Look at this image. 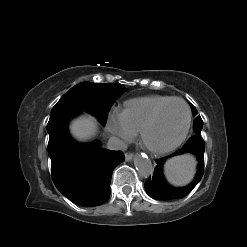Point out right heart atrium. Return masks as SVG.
Masks as SVG:
<instances>
[{
	"instance_id": "d8ad5b80",
	"label": "right heart atrium",
	"mask_w": 247,
	"mask_h": 247,
	"mask_svg": "<svg viewBox=\"0 0 247 247\" xmlns=\"http://www.w3.org/2000/svg\"><path fill=\"white\" fill-rule=\"evenodd\" d=\"M110 133L121 141H128L135 136V131L129 126L122 112L114 110L108 119Z\"/></svg>"
}]
</instances>
